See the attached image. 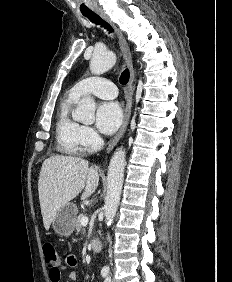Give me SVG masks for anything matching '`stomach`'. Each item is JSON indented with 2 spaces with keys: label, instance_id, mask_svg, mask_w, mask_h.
<instances>
[{
  "label": "stomach",
  "instance_id": "1",
  "mask_svg": "<svg viewBox=\"0 0 232 282\" xmlns=\"http://www.w3.org/2000/svg\"><path fill=\"white\" fill-rule=\"evenodd\" d=\"M77 213L78 209L73 203L61 207L52 221L54 231L62 237H69L74 231Z\"/></svg>",
  "mask_w": 232,
  "mask_h": 282
}]
</instances>
